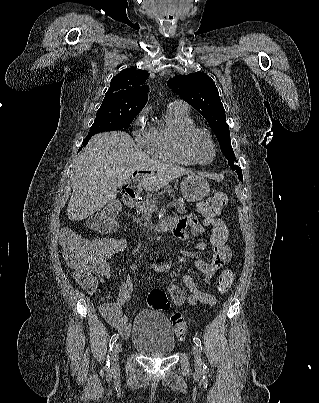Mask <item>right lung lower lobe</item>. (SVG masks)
<instances>
[{"label": "right lung lower lobe", "mask_w": 319, "mask_h": 403, "mask_svg": "<svg viewBox=\"0 0 319 403\" xmlns=\"http://www.w3.org/2000/svg\"><path fill=\"white\" fill-rule=\"evenodd\" d=\"M97 132H91V133H89L88 135H87V137L83 140V146H86L87 145V143H88V141H89V139L93 136V135H95Z\"/></svg>", "instance_id": "98d812e1"}]
</instances>
